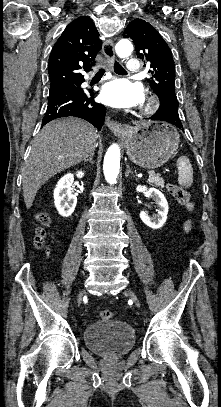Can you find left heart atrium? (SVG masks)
<instances>
[{
  "label": "left heart atrium",
  "instance_id": "39dd6f15",
  "mask_svg": "<svg viewBox=\"0 0 221 407\" xmlns=\"http://www.w3.org/2000/svg\"><path fill=\"white\" fill-rule=\"evenodd\" d=\"M100 98L108 106L130 108L143 103L144 91L138 83L127 78H117L103 86Z\"/></svg>",
  "mask_w": 221,
  "mask_h": 407
}]
</instances>
